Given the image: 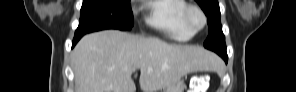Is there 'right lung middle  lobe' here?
I'll list each match as a JSON object with an SVG mask.
<instances>
[{
  "label": "right lung middle lobe",
  "mask_w": 296,
  "mask_h": 92,
  "mask_svg": "<svg viewBox=\"0 0 296 92\" xmlns=\"http://www.w3.org/2000/svg\"><path fill=\"white\" fill-rule=\"evenodd\" d=\"M134 25L130 0H84L76 36L103 30H131Z\"/></svg>",
  "instance_id": "dd1d6c3e"
}]
</instances>
